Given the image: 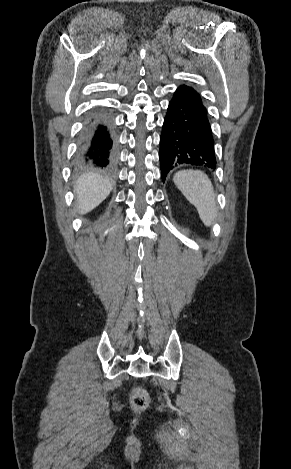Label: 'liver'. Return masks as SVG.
Here are the masks:
<instances>
[{
    "label": "liver",
    "instance_id": "obj_1",
    "mask_svg": "<svg viewBox=\"0 0 291 469\" xmlns=\"http://www.w3.org/2000/svg\"><path fill=\"white\" fill-rule=\"evenodd\" d=\"M112 190L109 179L97 174L81 176L74 187L80 214H86L96 208Z\"/></svg>",
    "mask_w": 291,
    "mask_h": 469
}]
</instances>
